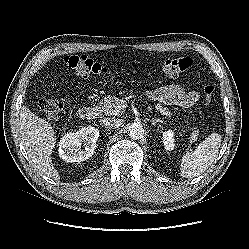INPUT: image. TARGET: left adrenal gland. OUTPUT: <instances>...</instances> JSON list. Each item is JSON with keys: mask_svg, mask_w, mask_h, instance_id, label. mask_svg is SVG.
Wrapping results in <instances>:
<instances>
[{"mask_svg": "<svg viewBox=\"0 0 249 249\" xmlns=\"http://www.w3.org/2000/svg\"><path fill=\"white\" fill-rule=\"evenodd\" d=\"M151 124L154 126L157 122H160V123H163V121H161L160 119H157V118H152L150 120Z\"/></svg>", "mask_w": 249, "mask_h": 249, "instance_id": "a2214340", "label": "left adrenal gland"}]
</instances>
